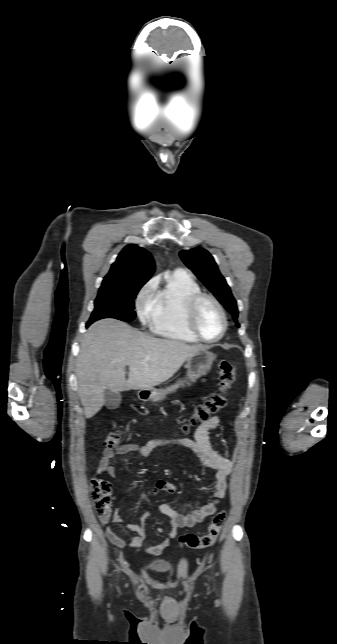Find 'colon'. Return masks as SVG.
Returning <instances> with one entry per match:
<instances>
[{
  "mask_svg": "<svg viewBox=\"0 0 337 644\" xmlns=\"http://www.w3.org/2000/svg\"><path fill=\"white\" fill-rule=\"evenodd\" d=\"M219 369V392L213 394L208 399L198 404L190 414L187 421L182 426V431L187 432L198 423L207 421L211 415L218 412L226 405V395L235 378V366L228 360H222L218 364ZM106 449L115 450L120 445V435L117 432H110L105 440ZM91 493L95 500V510L99 519L106 522L110 517V485L100 478L91 480ZM225 511L217 512L207 530L202 535L185 534L180 537V542L193 549H202L212 546L220 533L225 522Z\"/></svg>",
  "mask_w": 337,
  "mask_h": 644,
  "instance_id": "5ec220e1",
  "label": "colon"
}]
</instances>
